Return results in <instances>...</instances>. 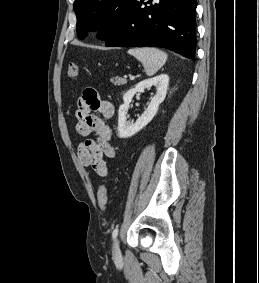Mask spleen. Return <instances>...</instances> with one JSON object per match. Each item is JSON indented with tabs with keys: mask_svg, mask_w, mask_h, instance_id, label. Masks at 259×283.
I'll return each instance as SVG.
<instances>
[{
	"mask_svg": "<svg viewBox=\"0 0 259 283\" xmlns=\"http://www.w3.org/2000/svg\"><path fill=\"white\" fill-rule=\"evenodd\" d=\"M128 54L134 56L143 64L148 76L154 75L167 60L165 52L153 47L129 49Z\"/></svg>",
	"mask_w": 259,
	"mask_h": 283,
	"instance_id": "obj_1",
	"label": "spleen"
}]
</instances>
